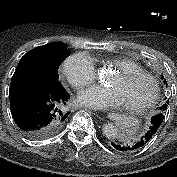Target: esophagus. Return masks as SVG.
<instances>
[{"label":"esophagus","instance_id":"1","mask_svg":"<svg viewBox=\"0 0 177 177\" xmlns=\"http://www.w3.org/2000/svg\"><path fill=\"white\" fill-rule=\"evenodd\" d=\"M103 116H104L105 118H108V117L110 116V113H109L108 111H105V112L103 113Z\"/></svg>","mask_w":177,"mask_h":177}]
</instances>
